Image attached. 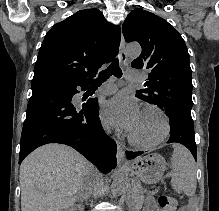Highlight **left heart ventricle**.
<instances>
[{"label":"left heart ventricle","instance_id":"obj_1","mask_svg":"<svg viewBox=\"0 0 219 211\" xmlns=\"http://www.w3.org/2000/svg\"><path fill=\"white\" fill-rule=\"evenodd\" d=\"M162 131V116L154 110H147L140 113L139 119L130 133L138 140L152 141L158 138Z\"/></svg>","mask_w":219,"mask_h":211}]
</instances>
